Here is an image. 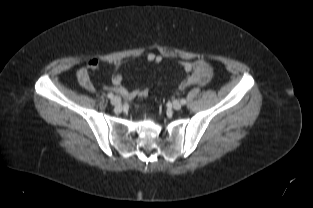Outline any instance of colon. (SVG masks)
Returning a JSON list of instances; mask_svg holds the SVG:
<instances>
[{
	"label": "colon",
	"instance_id": "5ec220e1",
	"mask_svg": "<svg viewBox=\"0 0 313 208\" xmlns=\"http://www.w3.org/2000/svg\"><path fill=\"white\" fill-rule=\"evenodd\" d=\"M138 96L141 99H144L148 96V90L147 89H142L138 92Z\"/></svg>",
	"mask_w": 313,
	"mask_h": 208
}]
</instances>
